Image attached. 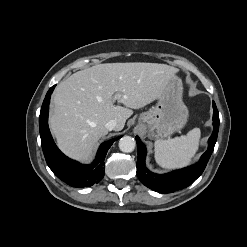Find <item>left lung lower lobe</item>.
I'll list each match as a JSON object with an SVG mask.
<instances>
[{
	"instance_id": "0a47b994",
	"label": "left lung lower lobe",
	"mask_w": 247,
	"mask_h": 247,
	"mask_svg": "<svg viewBox=\"0 0 247 247\" xmlns=\"http://www.w3.org/2000/svg\"><path fill=\"white\" fill-rule=\"evenodd\" d=\"M213 133L208 140V149L201 156L200 161L190 167L173 171L164 175L150 172L145 165L146 147L139 137H136L138 148L137 175L139 180L148 188L159 193H170L185 188L193 183L204 171L213 152L219 129V113L213 102Z\"/></svg>"
}]
</instances>
